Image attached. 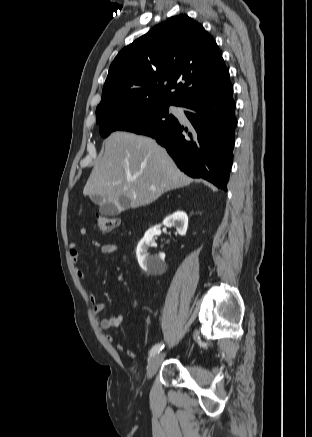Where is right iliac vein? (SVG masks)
Listing matches in <instances>:
<instances>
[{
  "mask_svg": "<svg viewBox=\"0 0 312 437\" xmlns=\"http://www.w3.org/2000/svg\"><path fill=\"white\" fill-rule=\"evenodd\" d=\"M163 358H164V353H158L151 359V361L149 362V365H148V369H147L148 378H151L154 376V374L157 372Z\"/></svg>",
  "mask_w": 312,
  "mask_h": 437,
  "instance_id": "obj_1",
  "label": "right iliac vein"
}]
</instances>
